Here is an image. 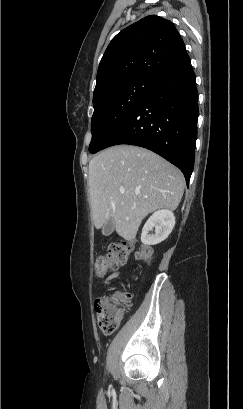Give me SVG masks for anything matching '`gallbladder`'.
<instances>
[{"label": "gallbladder", "instance_id": "gallbladder-1", "mask_svg": "<svg viewBox=\"0 0 243 409\" xmlns=\"http://www.w3.org/2000/svg\"><path fill=\"white\" fill-rule=\"evenodd\" d=\"M114 228H115L114 219L113 218L108 219L107 222L104 224V226L102 228V234L104 236H109L114 231Z\"/></svg>", "mask_w": 243, "mask_h": 409}]
</instances>
